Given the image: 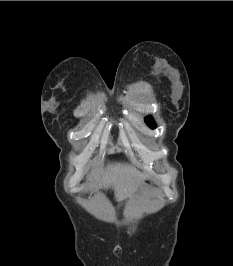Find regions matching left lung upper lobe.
<instances>
[{"label": "left lung upper lobe", "mask_w": 233, "mask_h": 266, "mask_svg": "<svg viewBox=\"0 0 233 266\" xmlns=\"http://www.w3.org/2000/svg\"><path fill=\"white\" fill-rule=\"evenodd\" d=\"M145 122L148 124L152 129L156 128V124L151 116L145 117Z\"/></svg>", "instance_id": "1"}]
</instances>
